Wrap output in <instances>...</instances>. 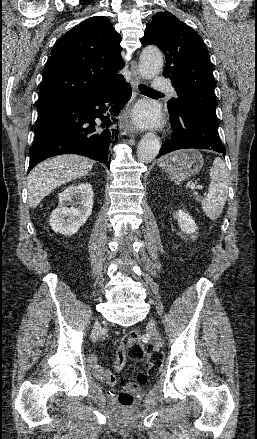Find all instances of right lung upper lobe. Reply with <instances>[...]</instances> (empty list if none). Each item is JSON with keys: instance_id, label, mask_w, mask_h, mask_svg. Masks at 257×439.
<instances>
[{"instance_id": "obj_1", "label": "right lung upper lobe", "mask_w": 257, "mask_h": 439, "mask_svg": "<svg viewBox=\"0 0 257 439\" xmlns=\"http://www.w3.org/2000/svg\"><path fill=\"white\" fill-rule=\"evenodd\" d=\"M121 37L104 16L91 17L54 45L43 70L37 109L100 92L122 79Z\"/></svg>"}]
</instances>
